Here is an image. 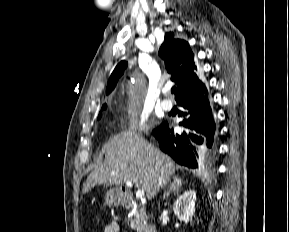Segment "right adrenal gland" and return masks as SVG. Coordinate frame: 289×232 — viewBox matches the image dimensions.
Masks as SVG:
<instances>
[{"mask_svg":"<svg viewBox=\"0 0 289 232\" xmlns=\"http://www.w3.org/2000/svg\"><path fill=\"white\" fill-rule=\"evenodd\" d=\"M184 182L182 181L181 178L175 176L173 177V182L170 185V189L164 193L163 199H167L170 195V193H175L179 190V188L182 186Z\"/></svg>","mask_w":289,"mask_h":232,"instance_id":"right-adrenal-gland-1","label":"right adrenal gland"}]
</instances>
